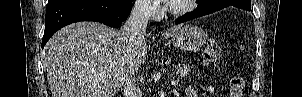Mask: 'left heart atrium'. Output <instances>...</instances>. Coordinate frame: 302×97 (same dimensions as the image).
<instances>
[{
    "instance_id": "obj_1",
    "label": "left heart atrium",
    "mask_w": 302,
    "mask_h": 97,
    "mask_svg": "<svg viewBox=\"0 0 302 97\" xmlns=\"http://www.w3.org/2000/svg\"><path fill=\"white\" fill-rule=\"evenodd\" d=\"M176 0H161V2H164L166 4H172Z\"/></svg>"
}]
</instances>
